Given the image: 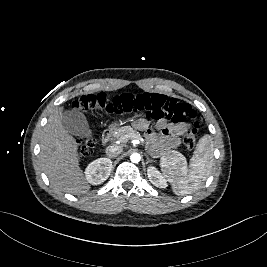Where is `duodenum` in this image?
Listing matches in <instances>:
<instances>
[{"label":"duodenum","mask_w":267,"mask_h":267,"mask_svg":"<svg viewBox=\"0 0 267 267\" xmlns=\"http://www.w3.org/2000/svg\"><path fill=\"white\" fill-rule=\"evenodd\" d=\"M112 135V130L111 129H106L103 131L101 138H100V142L102 145H105L109 142L110 138Z\"/></svg>","instance_id":"obj_1"}]
</instances>
